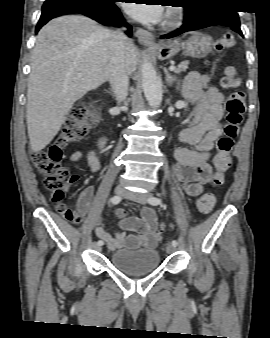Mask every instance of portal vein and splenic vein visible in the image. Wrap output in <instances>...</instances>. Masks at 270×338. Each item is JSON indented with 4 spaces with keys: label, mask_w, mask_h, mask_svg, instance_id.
Masks as SVG:
<instances>
[{
    "label": "portal vein and splenic vein",
    "mask_w": 270,
    "mask_h": 338,
    "mask_svg": "<svg viewBox=\"0 0 270 338\" xmlns=\"http://www.w3.org/2000/svg\"><path fill=\"white\" fill-rule=\"evenodd\" d=\"M175 69H176V67H175L174 65H171V66L169 67V70H170V71H174ZM78 76L81 77L82 74H78Z\"/></svg>",
    "instance_id": "portal-vein-and-splenic-vein-1"
}]
</instances>
